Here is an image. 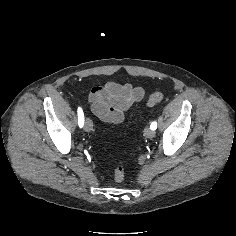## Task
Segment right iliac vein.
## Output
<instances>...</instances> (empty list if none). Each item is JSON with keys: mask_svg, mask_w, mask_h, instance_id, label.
<instances>
[{"mask_svg": "<svg viewBox=\"0 0 236 236\" xmlns=\"http://www.w3.org/2000/svg\"><path fill=\"white\" fill-rule=\"evenodd\" d=\"M84 129L87 132H90L93 129V123L90 119H86L85 124H84Z\"/></svg>", "mask_w": 236, "mask_h": 236, "instance_id": "obj_1", "label": "right iliac vein"}]
</instances>
